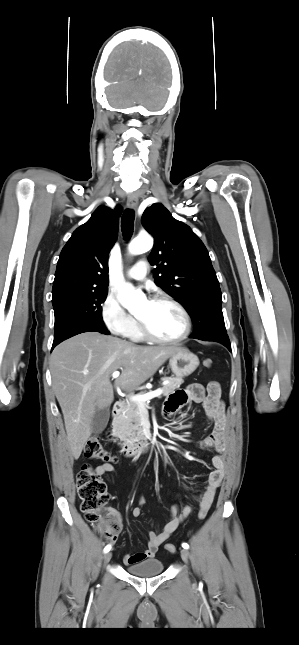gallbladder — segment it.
<instances>
[{
    "mask_svg": "<svg viewBox=\"0 0 299 645\" xmlns=\"http://www.w3.org/2000/svg\"><path fill=\"white\" fill-rule=\"evenodd\" d=\"M110 418L109 407L97 409L92 419V433L100 434L107 426Z\"/></svg>",
    "mask_w": 299,
    "mask_h": 645,
    "instance_id": "gallbladder-1",
    "label": "gallbladder"
}]
</instances>
